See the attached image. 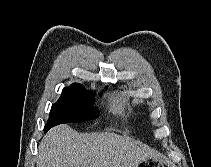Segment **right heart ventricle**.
<instances>
[{"instance_id": "right-heart-ventricle-1", "label": "right heart ventricle", "mask_w": 211, "mask_h": 167, "mask_svg": "<svg viewBox=\"0 0 211 167\" xmlns=\"http://www.w3.org/2000/svg\"><path fill=\"white\" fill-rule=\"evenodd\" d=\"M113 109L115 111H120L121 110V102L119 100L114 102Z\"/></svg>"}]
</instances>
